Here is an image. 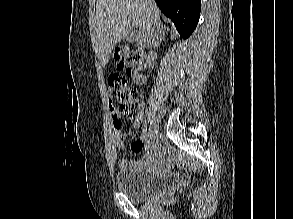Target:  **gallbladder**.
<instances>
[{
  "mask_svg": "<svg viewBox=\"0 0 293 219\" xmlns=\"http://www.w3.org/2000/svg\"><path fill=\"white\" fill-rule=\"evenodd\" d=\"M129 43H133L136 40V35L135 34H131L127 37L126 39Z\"/></svg>",
  "mask_w": 293,
  "mask_h": 219,
  "instance_id": "1",
  "label": "gallbladder"
}]
</instances>
